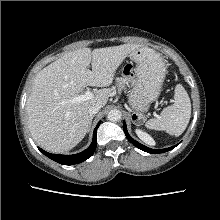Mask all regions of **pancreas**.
Returning <instances> with one entry per match:
<instances>
[{
    "instance_id": "1",
    "label": "pancreas",
    "mask_w": 220,
    "mask_h": 220,
    "mask_svg": "<svg viewBox=\"0 0 220 220\" xmlns=\"http://www.w3.org/2000/svg\"><path fill=\"white\" fill-rule=\"evenodd\" d=\"M116 86L118 88V91L120 92L121 90L125 89L126 81L119 79V80H117ZM116 86L112 88L113 91H116Z\"/></svg>"
}]
</instances>
